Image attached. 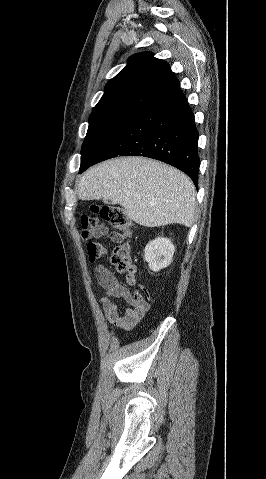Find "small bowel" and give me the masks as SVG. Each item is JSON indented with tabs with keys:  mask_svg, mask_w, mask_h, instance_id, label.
Instances as JSON below:
<instances>
[{
	"mask_svg": "<svg viewBox=\"0 0 266 479\" xmlns=\"http://www.w3.org/2000/svg\"><path fill=\"white\" fill-rule=\"evenodd\" d=\"M98 239H111L120 242L122 236L116 232L104 230L95 235ZM99 284L105 290V295L100 298L107 321L117 329H131L149 311L150 305L145 300L141 290L131 292L127 287L120 284L117 278L104 265L99 264L95 268ZM127 284L135 286L137 278L135 270L127 276ZM117 299H123L129 303V307L121 311Z\"/></svg>",
	"mask_w": 266,
	"mask_h": 479,
	"instance_id": "c3829d8e",
	"label": "small bowel"
}]
</instances>
